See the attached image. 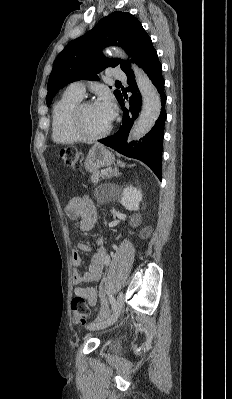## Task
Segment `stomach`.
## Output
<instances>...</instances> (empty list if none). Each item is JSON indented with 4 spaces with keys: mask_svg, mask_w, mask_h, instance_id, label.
Segmentation results:
<instances>
[{
    "mask_svg": "<svg viewBox=\"0 0 232 399\" xmlns=\"http://www.w3.org/2000/svg\"><path fill=\"white\" fill-rule=\"evenodd\" d=\"M114 162L112 152L106 150L102 144H94L88 152V156L84 162L87 172H97L103 166H111Z\"/></svg>",
    "mask_w": 232,
    "mask_h": 399,
    "instance_id": "obj_1",
    "label": "stomach"
}]
</instances>
